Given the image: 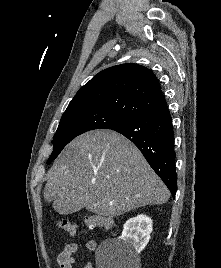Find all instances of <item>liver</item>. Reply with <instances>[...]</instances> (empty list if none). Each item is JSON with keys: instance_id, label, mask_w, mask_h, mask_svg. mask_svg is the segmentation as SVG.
Segmentation results:
<instances>
[{"instance_id": "6515ba94", "label": "liver", "mask_w": 221, "mask_h": 268, "mask_svg": "<svg viewBox=\"0 0 221 268\" xmlns=\"http://www.w3.org/2000/svg\"><path fill=\"white\" fill-rule=\"evenodd\" d=\"M43 195L60 214L85 207L108 217L163 204L170 197L139 149L112 130L72 140L51 167Z\"/></svg>"}]
</instances>
